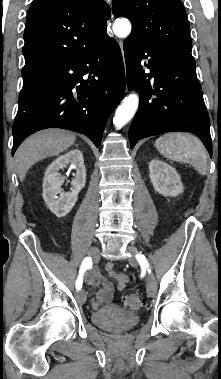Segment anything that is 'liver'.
I'll return each mask as SVG.
<instances>
[{"label":"liver","instance_id":"obj_1","mask_svg":"<svg viewBox=\"0 0 221 379\" xmlns=\"http://www.w3.org/2000/svg\"><path fill=\"white\" fill-rule=\"evenodd\" d=\"M75 140V134L61 129H47L31 135L20 145L15 154L19 179L24 180L33 164L60 154L73 145Z\"/></svg>","mask_w":221,"mask_h":379}]
</instances>
